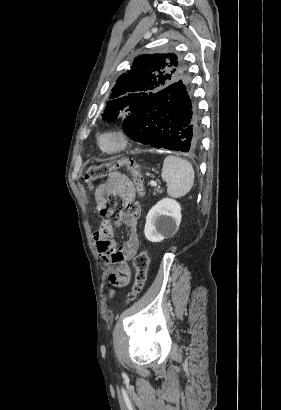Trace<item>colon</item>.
<instances>
[{
	"mask_svg": "<svg viewBox=\"0 0 281 410\" xmlns=\"http://www.w3.org/2000/svg\"><path fill=\"white\" fill-rule=\"evenodd\" d=\"M127 167L133 177V182L136 187L137 192L143 195L145 190L143 186V178L141 173L134 167V164L129 159H119L109 163H102L98 165L91 166L85 174V181L87 183H92L110 176L115 170ZM108 204L111 208H121L126 207L131 214L139 213V205L130 200L128 197L122 195H113L109 198ZM134 266L136 269L135 282L128 294V300L133 301L142 292L146 280L147 272L149 266V256L146 251H141L134 259Z\"/></svg>",
	"mask_w": 281,
	"mask_h": 410,
	"instance_id": "colon-1",
	"label": "colon"
}]
</instances>
